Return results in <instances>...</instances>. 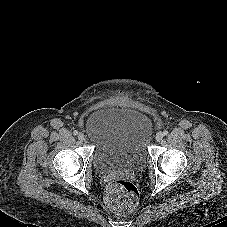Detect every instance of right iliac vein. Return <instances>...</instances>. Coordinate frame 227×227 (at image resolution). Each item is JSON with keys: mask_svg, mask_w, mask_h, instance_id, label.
<instances>
[{"mask_svg": "<svg viewBox=\"0 0 227 227\" xmlns=\"http://www.w3.org/2000/svg\"><path fill=\"white\" fill-rule=\"evenodd\" d=\"M84 138H85V136H84L83 133H79V134H78V139H79L80 141H83Z\"/></svg>", "mask_w": 227, "mask_h": 227, "instance_id": "63e3f726", "label": "right iliac vein"}]
</instances>
